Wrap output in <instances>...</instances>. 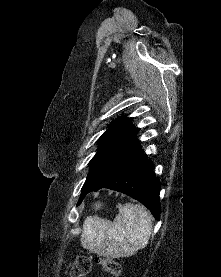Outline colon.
<instances>
[{"mask_svg":"<svg viewBox=\"0 0 221 277\" xmlns=\"http://www.w3.org/2000/svg\"><path fill=\"white\" fill-rule=\"evenodd\" d=\"M94 261L100 264L110 275L118 276L121 272L120 265L111 259L95 258ZM93 260L88 256H78L75 258L71 277H86L92 268Z\"/></svg>","mask_w":221,"mask_h":277,"instance_id":"obj_1","label":"colon"}]
</instances>
